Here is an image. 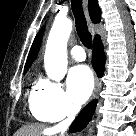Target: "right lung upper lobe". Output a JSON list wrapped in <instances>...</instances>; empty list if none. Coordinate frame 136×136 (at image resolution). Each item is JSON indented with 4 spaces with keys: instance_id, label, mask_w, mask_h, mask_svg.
Segmentation results:
<instances>
[{
    "instance_id": "1",
    "label": "right lung upper lobe",
    "mask_w": 136,
    "mask_h": 136,
    "mask_svg": "<svg viewBox=\"0 0 136 136\" xmlns=\"http://www.w3.org/2000/svg\"><path fill=\"white\" fill-rule=\"evenodd\" d=\"M89 13H90V17L93 23H98L101 20V10L98 6L97 0H89ZM43 32H44V27L40 30V32L36 35L35 40L32 44V47L30 49L28 58H27V62L25 65V72L29 69V67L31 66L32 62L36 59L39 48H40V44H41V40H42V36H43ZM99 37L98 35L95 37L97 38Z\"/></svg>"
}]
</instances>
